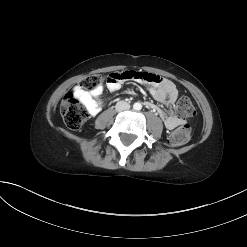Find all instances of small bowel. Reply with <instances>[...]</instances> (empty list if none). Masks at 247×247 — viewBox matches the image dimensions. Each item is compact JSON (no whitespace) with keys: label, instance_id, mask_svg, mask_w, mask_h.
<instances>
[{"label":"small bowel","instance_id":"obj_1","mask_svg":"<svg viewBox=\"0 0 247 247\" xmlns=\"http://www.w3.org/2000/svg\"><path fill=\"white\" fill-rule=\"evenodd\" d=\"M105 82L111 91L119 90L121 84L125 82L147 83L152 96L168 108L176 102L179 95L176 85L171 80L157 76L150 71L126 69L125 71L108 72L105 75ZM102 92L103 85L101 83L91 91L84 90L80 86H75L73 89V95L81 101L92 116L97 115L102 109L104 104L101 99ZM145 105L159 112L167 129L172 130L182 124V120L170 110L162 111L149 102H146Z\"/></svg>","mask_w":247,"mask_h":247}]
</instances>
